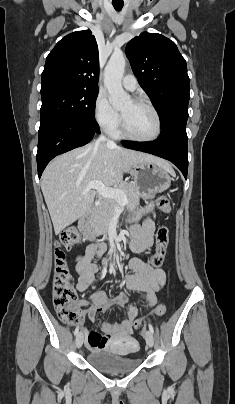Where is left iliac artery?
<instances>
[{
    "instance_id": "1",
    "label": "left iliac artery",
    "mask_w": 235,
    "mask_h": 404,
    "mask_svg": "<svg viewBox=\"0 0 235 404\" xmlns=\"http://www.w3.org/2000/svg\"><path fill=\"white\" fill-rule=\"evenodd\" d=\"M149 330L151 331L152 334L154 333V329H153V326L151 324H149Z\"/></svg>"
}]
</instances>
